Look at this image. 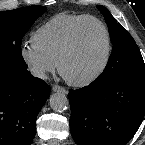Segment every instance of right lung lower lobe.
Segmentation results:
<instances>
[{
    "label": "right lung lower lobe",
    "instance_id": "1",
    "mask_svg": "<svg viewBox=\"0 0 145 145\" xmlns=\"http://www.w3.org/2000/svg\"><path fill=\"white\" fill-rule=\"evenodd\" d=\"M50 87L27 70L0 78V145H30Z\"/></svg>",
    "mask_w": 145,
    "mask_h": 145
}]
</instances>
